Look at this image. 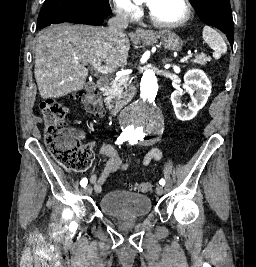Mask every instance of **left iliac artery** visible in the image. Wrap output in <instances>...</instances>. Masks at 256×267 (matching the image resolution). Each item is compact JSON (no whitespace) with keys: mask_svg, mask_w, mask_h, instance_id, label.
Here are the masks:
<instances>
[{"mask_svg":"<svg viewBox=\"0 0 256 267\" xmlns=\"http://www.w3.org/2000/svg\"><path fill=\"white\" fill-rule=\"evenodd\" d=\"M129 143L131 145H133V144H135V141H133L132 139H129ZM159 184L162 185V186H164L165 185V180L163 178L160 179Z\"/></svg>","mask_w":256,"mask_h":267,"instance_id":"obj_1","label":"left iliac artery"}]
</instances>
